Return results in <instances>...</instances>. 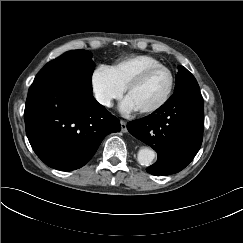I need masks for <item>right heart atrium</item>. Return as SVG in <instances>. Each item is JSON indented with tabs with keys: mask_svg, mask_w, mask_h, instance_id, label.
Segmentation results:
<instances>
[{
	"mask_svg": "<svg viewBox=\"0 0 243 243\" xmlns=\"http://www.w3.org/2000/svg\"><path fill=\"white\" fill-rule=\"evenodd\" d=\"M91 84L96 100L103 107H111L116 100L122 97L123 90L115 82L108 66L101 65L95 69Z\"/></svg>",
	"mask_w": 243,
	"mask_h": 243,
	"instance_id": "1",
	"label": "right heart atrium"
}]
</instances>
